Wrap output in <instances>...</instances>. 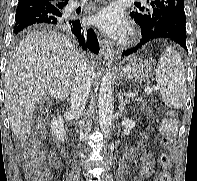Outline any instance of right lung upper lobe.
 Segmentation results:
<instances>
[{
	"label": "right lung upper lobe",
	"mask_w": 197,
	"mask_h": 181,
	"mask_svg": "<svg viewBox=\"0 0 197 181\" xmlns=\"http://www.w3.org/2000/svg\"><path fill=\"white\" fill-rule=\"evenodd\" d=\"M52 3H57V2H64V1H68V0H48Z\"/></svg>",
	"instance_id": "1"
}]
</instances>
